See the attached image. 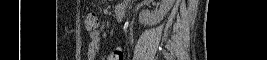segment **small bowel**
I'll list each match as a JSON object with an SVG mask.
<instances>
[{"mask_svg":"<svg viewBox=\"0 0 267 60\" xmlns=\"http://www.w3.org/2000/svg\"><path fill=\"white\" fill-rule=\"evenodd\" d=\"M100 32L90 34L87 44L86 56L88 60H96L100 46ZM107 60H124V55L121 51H113L107 57Z\"/></svg>","mask_w":267,"mask_h":60,"instance_id":"1","label":"small bowel"}]
</instances>
